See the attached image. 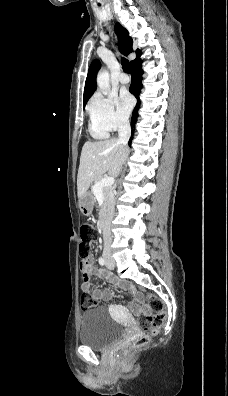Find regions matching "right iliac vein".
Listing matches in <instances>:
<instances>
[{
  "instance_id": "1",
  "label": "right iliac vein",
  "mask_w": 228,
  "mask_h": 396,
  "mask_svg": "<svg viewBox=\"0 0 228 396\" xmlns=\"http://www.w3.org/2000/svg\"><path fill=\"white\" fill-rule=\"evenodd\" d=\"M105 257H106V260H107V262H108V264H109L110 266H115L114 261L110 258L109 255H106Z\"/></svg>"
}]
</instances>
